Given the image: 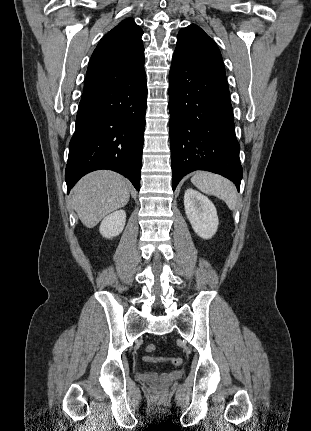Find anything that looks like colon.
<instances>
[{"label":"colon","instance_id":"1","mask_svg":"<svg viewBox=\"0 0 311 431\" xmlns=\"http://www.w3.org/2000/svg\"><path fill=\"white\" fill-rule=\"evenodd\" d=\"M155 349H156V346L154 344H149V345L146 346V351L149 352V353L154 352ZM143 360L145 362H148V363H159V362H166V361H168V362H170L171 364H173L175 366H179V365L182 364V359L180 357H171V358L165 359V358H161V357H155V356H149V355H147V356L143 357Z\"/></svg>","mask_w":311,"mask_h":431}]
</instances>
